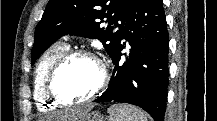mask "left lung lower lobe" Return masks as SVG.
Returning a JSON list of instances; mask_svg holds the SVG:
<instances>
[{
    "label": "left lung lower lobe",
    "instance_id": "left-lung-lower-lobe-1",
    "mask_svg": "<svg viewBox=\"0 0 217 121\" xmlns=\"http://www.w3.org/2000/svg\"><path fill=\"white\" fill-rule=\"evenodd\" d=\"M127 42H126V41ZM169 34L162 0H135L112 55L108 89L94 102H125L163 121L168 87ZM128 52L122 54V50Z\"/></svg>",
    "mask_w": 217,
    "mask_h": 121
}]
</instances>
